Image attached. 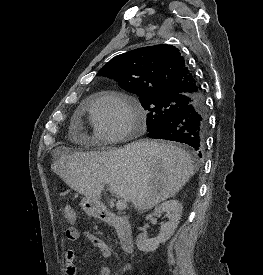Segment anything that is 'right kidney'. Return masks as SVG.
Instances as JSON below:
<instances>
[{
    "instance_id": "1",
    "label": "right kidney",
    "mask_w": 263,
    "mask_h": 275,
    "mask_svg": "<svg viewBox=\"0 0 263 275\" xmlns=\"http://www.w3.org/2000/svg\"><path fill=\"white\" fill-rule=\"evenodd\" d=\"M170 213L169 221L161 225V232L157 238L149 239L146 233H140L136 239L137 248L143 252L155 251L160 243H165L173 235L179 224L182 213V205L178 200L165 201L155 207L152 214L146 216V220H150L159 214Z\"/></svg>"
}]
</instances>
